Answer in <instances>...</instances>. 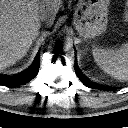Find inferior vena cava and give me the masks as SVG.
<instances>
[{
    "mask_svg": "<svg viewBox=\"0 0 128 128\" xmlns=\"http://www.w3.org/2000/svg\"><path fill=\"white\" fill-rule=\"evenodd\" d=\"M39 20H40V21H45V20H47V15H46V14H41V15L39 16Z\"/></svg>",
    "mask_w": 128,
    "mask_h": 128,
    "instance_id": "602c4592",
    "label": "inferior vena cava"
}]
</instances>
